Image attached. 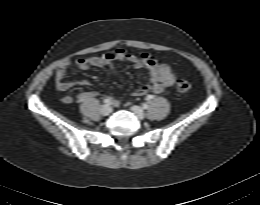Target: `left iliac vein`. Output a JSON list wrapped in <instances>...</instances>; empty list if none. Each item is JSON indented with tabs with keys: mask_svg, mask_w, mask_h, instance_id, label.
Masks as SVG:
<instances>
[{
	"mask_svg": "<svg viewBox=\"0 0 260 205\" xmlns=\"http://www.w3.org/2000/svg\"><path fill=\"white\" fill-rule=\"evenodd\" d=\"M131 110L136 115V117L140 120H143L146 116L143 109L140 106L133 105L131 107Z\"/></svg>",
	"mask_w": 260,
	"mask_h": 205,
	"instance_id": "left-iliac-vein-1",
	"label": "left iliac vein"
}]
</instances>
